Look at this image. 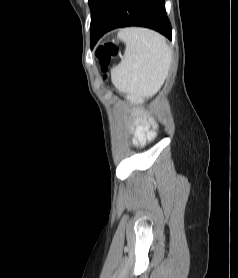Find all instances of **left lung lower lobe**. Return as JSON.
<instances>
[{
    "label": "left lung lower lobe",
    "instance_id": "0a47b994",
    "mask_svg": "<svg viewBox=\"0 0 238 278\" xmlns=\"http://www.w3.org/2000/svg\"><path fill=\"white\" fill-rule=\"evenodd\" d=\"M126 26L148 27L172 39L164 0H97L91 11V47L106 32Z\"/></svg>",
    "mask_w": 238,
    "mask_h": 278
}]
</instances>
